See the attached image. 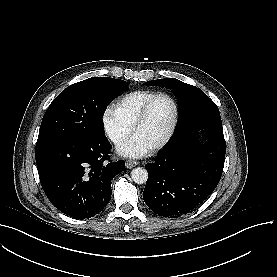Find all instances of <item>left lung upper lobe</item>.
<instances>
[{
	"mask_svg": "<svg viewBox=\"0 0 277 277\" xmlns=\"http://www.w3.org/2000/svg\"><path fill=\"white\" fill-rule=\"evenodd\" d=\"M144 84L172 89L178 98V122L174 134L165 148L181 141L186 135L198 128L208 127L214 130H222L218 107L199 88L174 78L152 80ZM224 158V152L210 148L209 150H202L198 158L180 160L178 164L182 171L198 174L197 171L206 172V170L199 167L201 161H224ZM209 178L217 179L220 176H209Z\"/></svg>",
	"mask_w": 277,
	"mask_h": 277,
	"instance_id": "1",
	"label": "left lung upper lobe"
}]
</instances>
